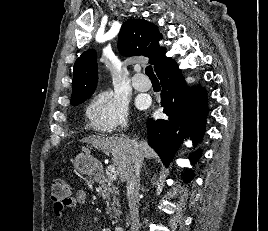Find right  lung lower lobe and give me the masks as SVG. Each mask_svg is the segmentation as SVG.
I'll return each instance as SVG.
<instances>
[{
    "label": "right lung lower lobe",
    "mask_w": 268,
    "mask_h": 231,
    "mask_svg": "<svg viewBox=\"0 0 268 231\" xmlns=\"http://www.w3.org/2000/svg\"><path fill=\"white\" fill-rule=\"evenodd\" d=\"M161 81V106L168 116L165 119H148V139L150 145L168 166L177 148L188 133L194 135V141L204 133L206 122V93L201 87L193 91L187 89L184 78L176 63L168 66L157 74ZM200 150L190 156L196 161ZM193 178L192 172L185 173L184 180Z\"/></svg>",
    "instance_id": "98d812e1"
}]
</instances>
